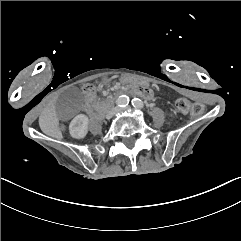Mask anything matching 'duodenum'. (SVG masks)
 Masks as SVG:
<instances>
[{
  "label": "duodenum",
  "instance_id": "410a0bca",
  "mask_svg": "<svg viewBox=\"0 0 241 241\" xmlns=\"http://www.w3.org/2000/svg\"><path fill=\"white\" fill-rule=\"evenodd\" d=\"M138 92H140L144 96L146 95L145 91L139 90ZM112 102H113V97H109L104 102L96 105L90 112L91 117L94 118V119L101 118L104 115V113L106 112V110L110 107Z\"/></svg>",
  "mask_w": 241,
  "mask_h": 241
}]
</instances>
